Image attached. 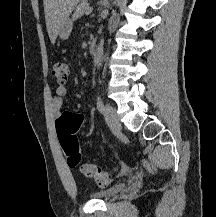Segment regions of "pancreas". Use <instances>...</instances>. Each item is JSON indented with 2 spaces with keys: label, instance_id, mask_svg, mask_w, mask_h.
<instances>
[{
  "label": "pancreas",
  "instance_id": "1",
  "mask_svg": "<svg viewBox=\"0 0 216 217\" xmlns=\"http://www.w3.org/2000/svg\"><path fill=\"white\" fill-rule=\"evenodd\" d=\"M89 6L87 0H82L81 3L76 7V10L72 16L73 20L78 19L79 17H81L85 12H86V8Z\"/></svg>",
  "mask_w": 216,
  "mask_h": 217
}]
</instances>
